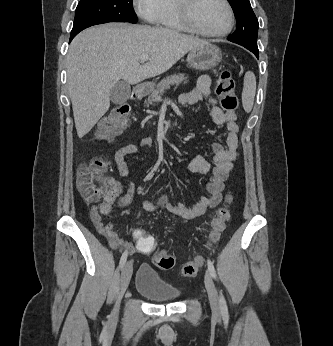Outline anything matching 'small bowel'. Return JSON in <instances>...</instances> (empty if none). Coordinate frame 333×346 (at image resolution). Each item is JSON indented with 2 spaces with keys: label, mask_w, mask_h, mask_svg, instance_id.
<instances>
[{
  "label": "small bowel",
  "mask_w": 333,
  "mask_h": 346,
  "mask_svg": "<svg viewBox=\"0 0 333 346\" xmlns=\"http://www.w3.org/2000/svg\"><path fill=\"white\" fill-rule=\"evenodd\" d=\"M210 84V77L201 75L197 80L196 86L179 97L180 105H194L205 99L209 104L213 121L217 125L225 126L227 129L226 146L219 142L212 144L213 166L201 156L194 157L187 165L190 173L210 174L209 182L205 187L207 196L202 197L193 206H186L182 203H171L168 197L163 195L154 201H144L143 207L146 211L154 212L159 208H164L183 219H194L203 215L207 210L216 207L221 202L225 181L233 169L234 161L239 156V127L236 122V113L222 110L219 107L217 100L211 95ZM152 143L151 138H142L139 141L141 146H151ZM139 145L125 144L115 150L114 163L120 176L125 177L129 174L126 158L129 155L137 154ZM132 196L133 189L131 187H124L120 183L111 180V189L108 197L102 203L94 204L90 208V219L93 225L108 240L109 244L115 248L116 254H131L137 250L136 246L119 238L118 234L113 230L112 223L109 221L113 205L115 203L127 204L131 201Z\"/></svg>",
  "instance_id": "small-bowel-1"
}]
</instances>
